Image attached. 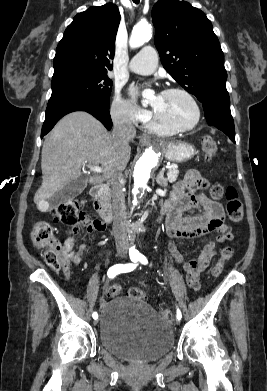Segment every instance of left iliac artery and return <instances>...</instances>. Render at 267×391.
<instances>
[{"label": "left iliac artery", "instance_id": "left-iliac-artery-1", "mask_svg": "<svg viewBox=\"0 0 267 391\" xmlns=\"http://www.w3.org/2000/svg\"><path fill=\"white\" fill-rule=\"evenodd\" d=\"M137 259L144 265L148 263L146 257L143 256L142 254H138ZM176 316H177V319H179V320L182 318L181 311L178 308H177V315Z\"/></svg>", "mask_w": 267, "mask_h": 391}]
</instances>
